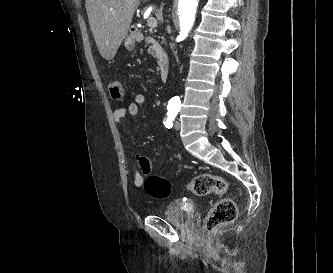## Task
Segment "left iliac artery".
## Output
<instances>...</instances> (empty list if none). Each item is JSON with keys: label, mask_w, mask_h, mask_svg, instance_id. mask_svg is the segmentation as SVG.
<instances>
[{"label": "left iliac artery", "mask_w": 333, "mask_h": 273, "mask_svg": "<svg viewBox=\"0 0 333 273\" xmlns=\"http://www.w3.org/2000/svg\"><path fill=\"white\" fill-rule=\"evenodd\" d=\"M177 112L178 111L175 109H168L167 117L165 118V120L163 122L166 128H172L173 121L177 115Z\"/></svg>", "instance_id": "1"}]
</instances>
